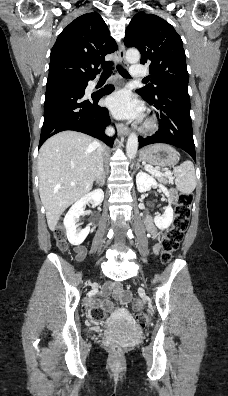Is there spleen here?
<instances>
[{"mask_svg": "<svg viewBox=\"0 0 228 396\" xmlns=\"http://www.w3.org/2000/svg\"><path fill=\"white\" fill-rule=\"evenodd\" d=\"M177 189L184 195L191 194L196 187V176L193 163L185 161L174 168Z\"/></svg>", "mask_w": 228, "mask_h": 396, "instance_id": "obj_1", "label": "spleen"}]
</instances>
